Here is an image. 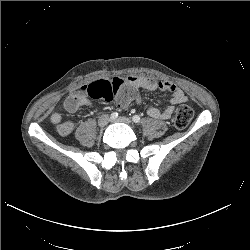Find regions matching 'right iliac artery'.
Segmentation results:
<instances>
[{"mask_svg": "<svg viewBox=\"0 0 250 250\" xmlns=\"http://www.w3.org/2000/svg\"><path fill=\"white\" fill-rule=\"evenodd\" d=\"M118 117V113L117 112H113L112 114H111V118L112 119H115V118H117Z\"/></svg>", "mask_w": 250, "mask_h": 250, "instance_id": "right-iliac-artery-1", "label": "right iliac artery"}]
</instances>
